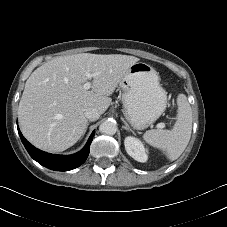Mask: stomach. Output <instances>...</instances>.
Listing matches in <instances>:
<instances>
[{
    "label": "stomach",
    "mask_w": 227,
    "mask_h": 227,
    "mask_svg": "<svg viewBox=\"0 0 227 227\" xmlns=\"http://www.w3.org/2000/svg\"><path fill=\"white\" fill-rule=\"evenodd\" d=\"M124 116L136 130L146 129L165 111L167 93L157 71L144 62L134 63L119 82Z\"/></svg>",
    "instance_id": "stomach-1"
}]
</instances>
